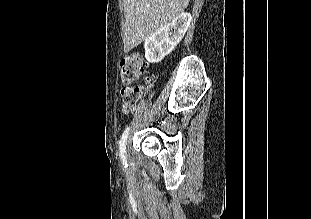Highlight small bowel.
Wrapping results in <instances>:
<instances>
[{
  "instance_id": "obj_1",
  "label": "small bowel",
  "mask_w": 311,
  "mask_h": 219,
  "mask_svg": "<svg viewBox=\"0 0 311 219\" xmlns=\"http://www.w3.org/2000/svg\"><path fill=\"white\" fill-rule=\"evenodd\" d=\"M131 110H133V108H128V107H124V108H123V111H124L125 113H128V112L131 111Z\"/></svg>"
}]
</instances>
